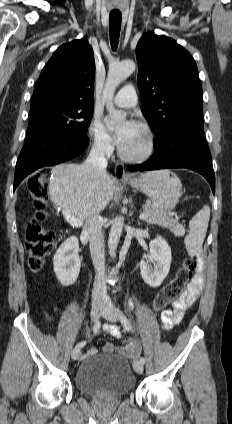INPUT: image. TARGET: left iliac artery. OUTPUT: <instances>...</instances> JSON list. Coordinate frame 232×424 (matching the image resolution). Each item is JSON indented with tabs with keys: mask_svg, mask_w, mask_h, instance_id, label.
I'll list each match as a JSON object with an SVG mask.
<instances>
[{
	"mask_svg": "<svg viewBox=\"0 0 232 424\" xmlns=\"http://www.w3.org/2000/svg\"><path fill=\"white\" fill-rule=\"evenodd\" d=\"M120 320H121V323H122V325H123V327L127 330V331H132V326H131V323L129 322V320L121 313L120 314ZM140 362L142 363V364H144L145 363V359L142 357V358H140Z\"/></svg>",
	"mask_w": 232,
	"mask_h": 424,
	"instance_id": "44dca946",
	"label": "left iliac artery"
}]
</instances>
